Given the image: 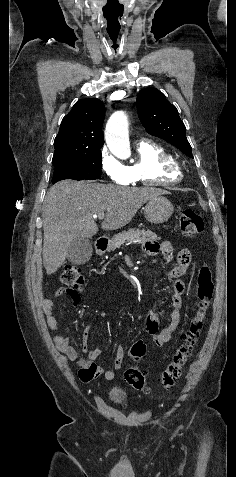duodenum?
I'll list each match as a JSON object with an SVG mask.
<instances>
[{
    "mask_svg": "<svg viewBox=\"0 0 236 477\" xmlns=\"http://www.w3.org/2000/svg\"><path fill=\"white\" fill-rule=\"evenodd\" d=\"M108 244H109V241L107 239L98 240L95 243V249L98 252H102L107 248Z\"/></svg>",
    "mask_w": 236,
    "mask_h": 477,
    "instance_id": "obj_1",
    "label": "duodenum"
}]
</instances>
